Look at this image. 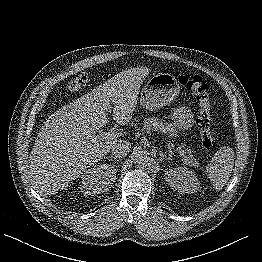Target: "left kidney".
I'll return each mask as SVG.
<instances>
[{"label": "left kidney", "mask_w": 262, "mask_h": 262, "mask_svg": "<svg viewBox=\"0 0 262 262\" xmlns=\"http://www.w3.org/2000/svg\"><path fill=\"white\" fill-rule=\"evenodd\" d=\"M165 180L168 185L179 193H195L200 188V182L192 170L186 167L169 169L165 173Z\"/></svg>", "instance_id": "1"}]
</instances>
